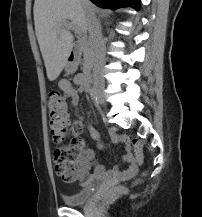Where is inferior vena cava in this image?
I'll return each instance as SVG.
<instances>
[{
  "instance_id": "602c4592",
  "label": "inferior vena cava",
  "mask_w": 202,
  "mask_h": 217,
  "mask_svg": "<svg viewBox=\"0 0 202 217\" xmlns=\"http://www.w3.org/2000/svg\"><path fill=\"white\" fill-rule=\"evenodd\" d=\"M82 2L85 4L87 0H82ZM88 18V33L94 51V85L100 86L104 84L103 69L105 65V46L98 19L92 12H89Z\"/></svg>"
}]
</instances>
